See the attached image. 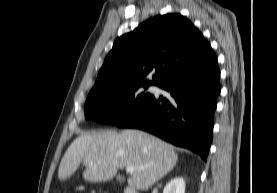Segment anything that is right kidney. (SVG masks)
Instances as JSON below:
<instances>
[{"label":"right kidney","mask_w":277,"mask_h":193,"mask_svg":"<svg viewBox=\"0 0 277 193\" xmlns=\"http://www.w3.org/2000/svg\"><path fill=\"white\" fill-rule=\"evenodd\" d=\"M163 193H185V181L182 177L172 179L164 188Z\"/></svg>","instance_id":"1"}]
</instances>
